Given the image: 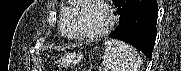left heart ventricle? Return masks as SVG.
Here are the masks:
<instances>
[{
  "mask_svg": "<svg viewBox=\"0 0 181 71\" xmlns=\"http://www.w3.org/2000/svg\"><path fill=\"white\" fill-rule=\"evenodd\" d=\"M107 22L106 11L95 3H89L79 14L78 30L84 34H92L104 28Z\"/></svg>",
  "mask_w": 181,
  "mask_h": 71,
  "instance_id": "obj_1",
  "label": "left heart ventricle"
}]
</instances>
